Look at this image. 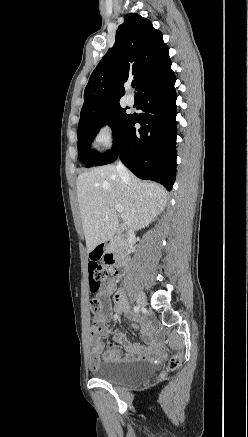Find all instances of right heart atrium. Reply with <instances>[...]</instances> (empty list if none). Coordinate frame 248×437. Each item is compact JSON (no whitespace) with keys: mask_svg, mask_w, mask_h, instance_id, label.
Masks as SVG:
<instances>
[{"mask_svg":"<svg viewBox=\"0 0 248 437\" xmlns=\"http://www.w3.org/2000/svg\"><path fill=\"white\" fill-rule=\"evenodd\" d=\"M115 126L109 119L101 121L95 129L92 142L95 148L105 150L112 146L115 140Z\"/></svg>","mask_w":248,"mask_h":437,"instance_id":"1","label":"right heart atrium"}]
</instances>
